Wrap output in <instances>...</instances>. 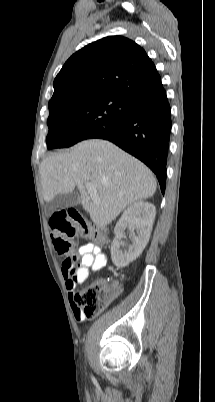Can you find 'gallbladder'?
Here are the masks:
<instances>
[{
	"instance_id": "gallbladder-1",
	"label": "gallbladder",
	"mask_w": 215,
	"mask_h": 402,
	"mask_svg": "<svg viewBox=\"0 0 215 402\" xmlns=\"http://www.w3.org/2000/svg\"><path fill=\"white\" fill-rule=\"evenodd\" d=\"M80 203L81 198L76 192L58 194L47 203L46 212L51 215L60 208L75 206Z\"/></svg>"
}]
</instances>
